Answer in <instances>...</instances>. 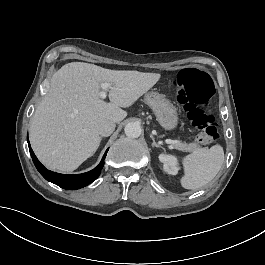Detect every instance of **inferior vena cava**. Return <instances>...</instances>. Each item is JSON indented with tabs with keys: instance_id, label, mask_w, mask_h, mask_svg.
I'll return each mask as SVG.
<instances>
[{
	"instance_id": "obj_1",
	"label": "inferior vena cava",
	"mask_w": 265,
	"mask_h": 265,
	"mask_svg": "<svg viewBox=\"0 0 265 265\" xmlns=\"http://www.w3.org/2000/svg\"><path fill=\"white\" fill-rule=\"evenodd\" d=\"M115 122L106 120V119H100L98 121V132L101 136H110L113 131L115 130Z\"/></svg>"
}]
</instances>
